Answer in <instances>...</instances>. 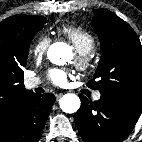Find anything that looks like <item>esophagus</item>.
<instances>
[{"mask_svg":"<svg viewBox=\"0 0 142 142\" xmlns=\"http://www.w3.org/2000/svg\"><path fill=\"white\" fill-rule=\"evenodd\" d=\"M55 96H56V100H59L62 97V93H58Z\"/></svg>","mask_w":142,"mask_h":142,"instance_id":"esophagus-1","label":"esophagus"}]
</instances>
